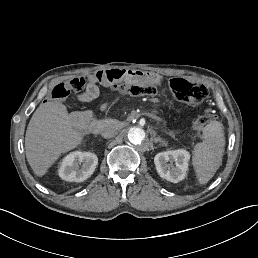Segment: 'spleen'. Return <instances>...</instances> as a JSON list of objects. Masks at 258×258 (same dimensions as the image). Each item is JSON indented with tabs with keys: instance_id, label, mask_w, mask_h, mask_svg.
<instances>
[{
	"instance_id": "3e777b00",
	"label": "spleen",
	"mask_w": 258,
	"mask_h": 258,
	"mask_svg": "<svg viewBox=\"0 0 258 258\" xmlns=\"http://www.w3.org/2000/svg\"><path fill=\"white\" fill-rule=\"evenodd\" d=\"M203 142L197 143L192 164L200 184H206L222 164L225 137L222 124L212 121L203 129Z\"/></svg>"
}]
</instances>
